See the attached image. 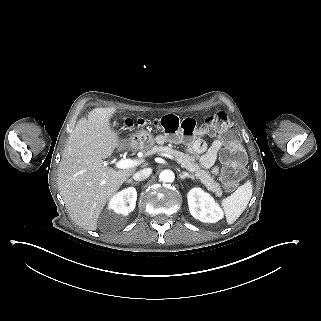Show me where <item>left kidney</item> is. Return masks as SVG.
<instances>
[{
	"mask_svg": "<svg viewBox=\"0 0 321 321\" xmlns=\"http://www.w3.org/2000/svg\"><path fill=\"white\" fill-rule=\"evenodd\" d=\"M189 210L191 215L202 222L215 223L223 217L220 208L214 200L199 188L188 193Z\"/></svg>",
	"mask_w": 321,
	"mask_h": 321,
	"instance_id": "5707ae66",
	"label": "left kidney"
}]
</instances>
